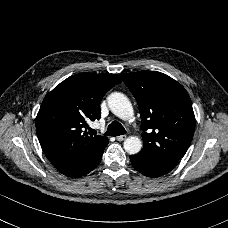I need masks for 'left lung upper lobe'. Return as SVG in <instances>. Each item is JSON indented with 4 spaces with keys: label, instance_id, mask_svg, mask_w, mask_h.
I'll use <instances>...</instances> for the list:
<instances>
[{
    "label": "left lung upper lobe",
    "instance_id": "5c2ea615",
    "mask_svg": "<svg viewBox=\"0 0 228 228\" xmlns=\"http://www.w3.org/2000/svg\"><path fill=\"white\" fill-rule=\"evenodd\" d=\"M137 100L143 131L140 156L155 162L177 163L186 153L195 130L191 99L171 77L155 71L121 74Z\"/></svg>",
    "mask_w": 228,
    "mask_h": 228
}]
</instances>
